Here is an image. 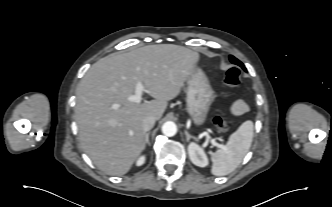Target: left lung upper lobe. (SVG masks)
<instances>
[{
    "instance_id": "1",
    "label": "left lung upper lobe",
    "mask_w": 332,
    "mask_h": 207,
    "mask_svg": "<svg viewBox=\"0 0 332 207\" xmlns=\"http://www.w3.org/2000/svg\"><path fill=\"white\" fill-rule=\"evenodd\" d=\"M230 61L233 64L239 65L240 67H242L244 70H246L245 66L238 60L236 59L234 56L230 55Z\"/></svg>"
}]
</instances>
